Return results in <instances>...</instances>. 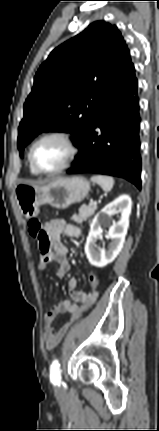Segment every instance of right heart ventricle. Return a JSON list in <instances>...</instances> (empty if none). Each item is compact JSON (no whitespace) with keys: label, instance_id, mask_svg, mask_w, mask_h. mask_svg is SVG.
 Listing matches in <instances>:
<instances>
[{"label":"right heart ventricle","instance_id":"1","mask_svg":"<svg viewBox=\"0 0 159 431\" xmlns=\"http://www.w3.org/2000/svg\"><path fill=\"white\" fill-rule=\"evenodd\" d=\"M29 167H30V172H31L32 174H34V175L38 174V173H36V172L33 170V168H32L31 166H29Z\"/></svg>","mask_w":159,"mask_h":431}]
</instances>
